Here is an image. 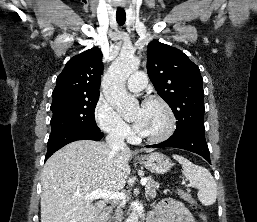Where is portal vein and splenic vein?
Instances as JSON below:
<instances>
[{
	"instance_id": "1",
	"label": "portal vein and splenic vein",
	"mask_w": 257,
	"mask_h": 222,
	"mask_svg": "<svg viewBox=\"0 0 257 222\" xmlns=\"http://www.w3.org/2000/svg\"><path fill=\"white\" fill-rule=\"evenodd\" d=\"M147 182L146 179H143L141 181L142 185H145ZM84 198L86 200H93V199H114V200H124L126 198V195L122 192H112V191H107V190H95L90 193H87L84 195Z\"/></svg>"
}]
</instances>
